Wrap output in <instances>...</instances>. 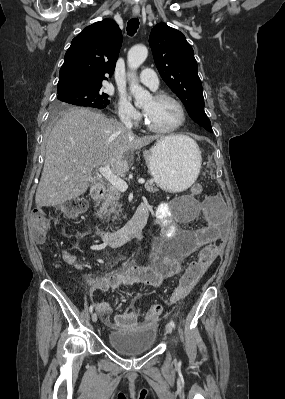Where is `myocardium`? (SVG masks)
<instances>
[{
	"label": "myocardium",
	"mask_w": 285,
	"mask_h": 399,
	"mask_svg": "<svg viewBox=\"0 0 285 399\" xmlns=\"http://www.w3.org/2000/svg\"><path fill=\"white\" fill-rule=\"evenodd\" d=\"M153 99H154V100H157V101H162V100H172V101H174V102L179 106V108H180V110H181L182 119H181L180 123L177 124V125L174 126V127H170V128H159V127L155 126V125L147 118L146 115H144V122H145V125H146V127H147L150 131L155 132V133H160V134H168V133H173V132L179 130V129L185 124V122H186V120H187L186 108H185L183 102H182L179 98H177V97L174 96V95L168 94V93H159V94L155 95V96L153 97Z\"/></svg>",
	"instance_id": "myocardium-1"
}]
</instances>
